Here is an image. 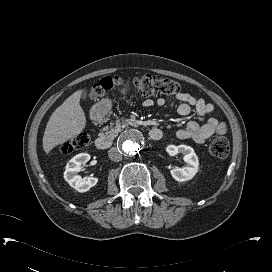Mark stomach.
Instances as JSON below:
<instances>
[{
	"label": "stomach",
	"mask_w": 272,
	"mask_h": 272,
	"mask_svg": "<svg viewBox=\"0 0 272 272\" xmlns=\"http://www.w3.org/2000/svg\"><path fill=\"white\" fill-rule=\"evenodd\" d=\"M128 91H129V89L123 88V89L121 90V93H122V94H126ZM105 104H106L107 109H109V108H110V103L107 101V102H105Z\"/></svg>",
	"instance_id": "0dacf381"
}]
</instances>
